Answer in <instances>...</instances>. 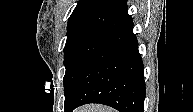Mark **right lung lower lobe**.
<instances>
[{
  "instance_id": "obj_1",
  "label": "right lung lower lobe",
  "mask_w": 193,
  "mask_h": 112,
  "mask_svg": "<svg viewBox=\"0 0 193 112\" xmlns=\"http://www.w3.org/2000/svg\"><path fill=\"white\" fill-rule=\"evenodd\" d=\"M133 22L116 32L84 65L65 100V112L100 103L120 112H143L145 82Z\"/></svg>"
}]
</instances>
